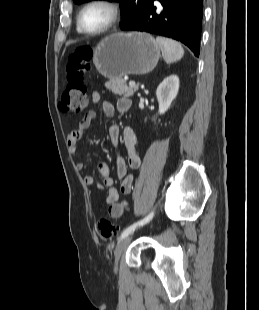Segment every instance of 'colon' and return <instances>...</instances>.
Masks as SVG:
<instances>
[{"instance_id":"colon-1","label":"colon","mask_w":259,"mask_h":310,"mask_svg":"<svg viewBox=\"0 0 259 310\" xmlns=\"http://www.w3.org/2000/svg\"><path fill=\"white\" fill-rule=\"evenodd\" d=\"M92 49L80 46L72 52L67 61V85L62 93L60 107L65 112L81 113L88 103V90L84 78L91 66ZM98 230L103 238L118 234L119 227L108 219H101Z\"/></svg>"}]
</instances>
